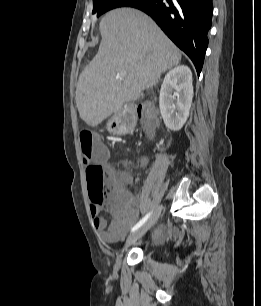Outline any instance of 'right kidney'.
Here are the masks:
<instances>
[{"label":"right kidney","instance_id":"ca27d5eb","mask_svg":"<svg viewBox=\"0 0 261 306\" xmlns=\"http://www.w3.org/2000/svg\"><path fill=\"white\" fill-rule=\"evenodd\" d=\"M193 98L192 72L184 65L170 70L163 81L159 108L167 128L179 131L189 116Z\"/></svg>","mask_w":261,"mask_h":306}]
</instances>
